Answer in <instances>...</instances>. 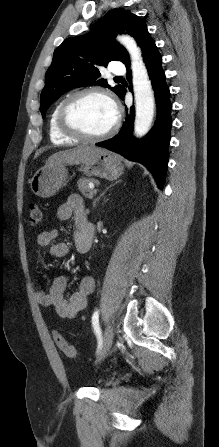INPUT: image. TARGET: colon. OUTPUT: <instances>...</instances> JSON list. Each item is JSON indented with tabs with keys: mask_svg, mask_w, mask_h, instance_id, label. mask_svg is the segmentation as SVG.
<instances>
[{
	"mask_svg": "<svg viewBox=\"0 0 219 447\" xmlns=\"http://www.w3.org/2000/svg\"><path fill=\"white\" fill-rule=\"evenodd\" d=\"M42 220V211L38 204L30 205L29 223L32 226L38 225ZM54 340L57 347L70 358H76L78 353L74 346L66 341V339L58 332L54 333Z\"/></svg>",
	"mask_w": 219,
	"mask_h": 447,
	"instance_id": "obj_1",
	"label": "colon"
}]
</instances>
